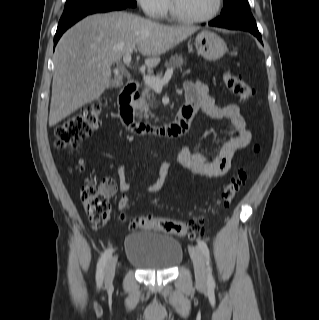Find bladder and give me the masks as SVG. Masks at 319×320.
Wrapping results in <instances>:
<instances>
[{
	"mask_svg": "<svg viewBox=\"0 0 319 320\" xmlns=\"http://www.w3.org/2000/svg\"><path fill=\"white\" fill-rule=\"evenodd\" d=\"M126 260L144 271H167L183 259V248L172 235L134 232L125 238Z\"/></svg>",
	"mask_w": 319,
	"mask_h": 320,
	"instance_id": "1",
	"label": "bladder"
}]
</instances>
